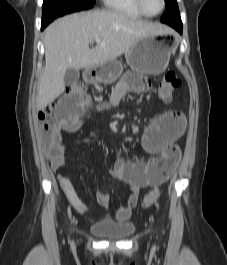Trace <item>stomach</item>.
I'll return each mask as SVG.
<instances>
[{
    "instance_id": "0dacf381",
    "label": "stomach",
    "mask_w": 227,
    "mask_h": 265,
    "mask_svg": "<svg viewBox=\"0 0 227 265\" xmlns=\"http://www.w3.org/2000/svg\"><path fill=\"white\" fill-rule=\"evenodd\" d=\"M175 49L174 41L160 39L157 36L144 37L127 51V64L141 74L158 75L168 67ZM122 70L121 62L112 60L87 68L85 79L89 83L111 84L119 78Z\"/></svg>"
}]
</instances>
